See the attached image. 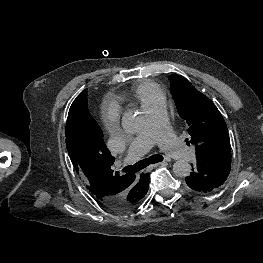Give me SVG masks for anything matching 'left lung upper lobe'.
<instances>
[{
	"label": "left lung upper lobe",
	"instance_id": "1",
	"mask_svg": "<svg viewBox=\"0 0 263 263\" xmlns=\"http://www.w3.org/2000/svg\"><path fill=\"white\" fill-rule=\"evenodd\" d=\"M170 83L178 113L188 125L190 142L196 147V158L230 154L227 126L213 102L181 75L172 74Z\"/></svg>",
	"mask_w": 263,
	"mask_h": 263
}]
</instances>
